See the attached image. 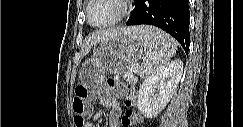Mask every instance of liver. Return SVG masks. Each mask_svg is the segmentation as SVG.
Returning <instances> with one entry per match:
<instances>
[{
	"label": "liver",
	"instance_id": "6515ba94",
	"mask_svg": "<svg viewBox=\"0 0 243 127\" xmlns=\"http://www.w3.org/2000/svg\"><path fill=\"white\" fill-rule=\"evenodd\" d=\"M139 27H128V28H118V29H111V30H102L92 33L86 38L85 45H84V54H87L91 47L98 42L105 40L109 37H115L118 34H129L133 33Z\"/></svg>",
	"mask_w": 243,
	"mask_h": 127
}]
</instances>
